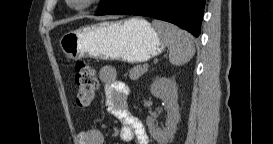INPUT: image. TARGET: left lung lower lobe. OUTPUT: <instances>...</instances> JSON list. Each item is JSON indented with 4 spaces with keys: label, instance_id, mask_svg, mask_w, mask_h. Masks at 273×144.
I'll return each mask as SVG.
<instances>
[{
    "label": "left lung lower lobe",
    "instance_id": "obj_1",
    "mask_svg": "<svg viewBox=\"0 0 273 144\" xmlns=\"http://www.w3.org/2000/svg\"><path fill=\"white\" fill-rule=\"evenodd\" d=\"M205 0H112L99 15H139L180 26L195 37L200 35Z\"/></svg>",
    "mask_w": 273,
    "mask_h": 144
}]
</instances>
